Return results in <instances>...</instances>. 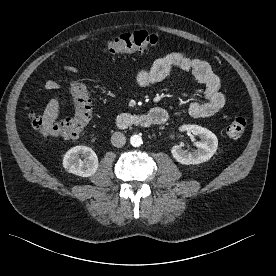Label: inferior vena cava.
<instances>
[{"label": "inferior vena cava", "mask_w": 276, "mask_h": 276, "mask_svg": "<svg viewBox=\"0 0 276 276\" xmlns=\"http://www.w3.org/2000/svg\"><path fill=\"white\" fill-rule=\"evenodd\" d=\"M111 143L113 146L120 148L125 145L126 143V137L121 132H115L111 136Z\"/></svg>", "instance_id": "inferior-vena-cava-1"}]
</instances>
